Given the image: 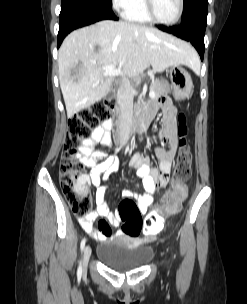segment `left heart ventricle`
Instances as JSON below:
<instances>
[{
  "instance_id": "1",
  "label": "left heart ventricle",
  "mask_w": 247,
  "mask_h": 304,
  "mask_svg": "<svg viewBox=\"0 0 247 304\" xmlns=\"http://www.w3.org/2000/svg\"><path fill=\"white\" fill-rule=\"evenodd\" d=\"M156 16L161 21L173 20L179 10V0H153Z\"/></svg>"
}]
</instances>
